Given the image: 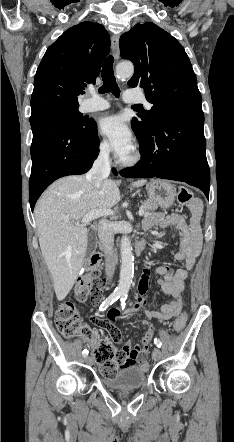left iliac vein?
I'll list each match as a JSON object with an SVG mask.
<instances>
[{
    "mask_svg": "<svg viewBox=\"0 0 234 442\" xmlns=\"http://www.w3.org/2000/svg\"><path fill=\"white\" fill-rule=\"evenodd\" d=\"M162 356V352L159 348H155L153 353H152V357L155 361H158L161 359Z\"/></svg>",
    "mask_w": 234,
    "mask_h": 442,
    "instance_id": "1",
    "label": "left iliac vein"
}]
</instances>
